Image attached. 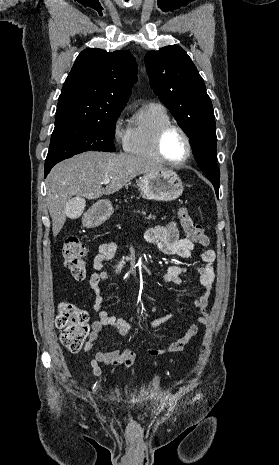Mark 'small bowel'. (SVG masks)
<instances>
[{"label":"small bowel","instance_id":"small-bowel-1","mask_svg":"<svg viewBox=\"0 0 279 465\" xmlns=\"http://www.w3.org/2000/svg\"><path fill=\"white\" fill-rule=\"evenodd\" d=\"M146 241L155 246L159 251L167 255H176L183 259L191 258L196 253L195 244L187 237H181L179 228L175 222H170L166 226H154L147 230L145 235ZM117 251V244L114 241L102 243L98 248V253L94 257L93 267L95 272L89 277V285L94 293L93 310L98 315V319L91 325V332L88 341L84 346V352L89 353L98 339L103 329L116 330L120 335L127 336L131 331V325L124 319L110 314L103 309V296L100 284L108 279V272L104 269V264L114 258ZM203 266L196 268L199 275L198 284L202 287L201 294L194 300L195 307L201 315L197 316L192 323L188 325L182 335L173 340L166 348H152L148 353L150 356H157L163 353H178L184 346L198 333L199 325H205L208 322L206 312L209 302V296L214 281V262L215 252L211 249H205L197 252ZM187 269L178 265H170L162 275L164 283H174L181 285L183 280L182 274ZM171 313L152 320L149 328H154L163 323L170 317ZM136 360L135 353L127 348L115 349L112 351H98L92 357L90 364L94 376L99 377L102 374L101 364L108 367H120L129 369Z\"/></svg>","mask_w":279,"mask_h":465}]
</instances>
